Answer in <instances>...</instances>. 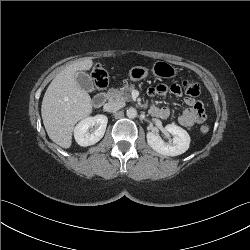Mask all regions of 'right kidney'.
<instances>
[{"label":"right kidney","mask_w":250,"mask_h":250,"mask_svg":"<svg viewBox=\"0 0 250 250\" xmlns=\"http://www.w3.org/2000/svg\"><path fill=\"white\" fill-rule=\"evenodd\" d=\"M108 118L105 115L86 117L74 128V138L80 146L96 144L105 134Z\"/></svg>","instance_id":"obj_1"}]
</instances>
